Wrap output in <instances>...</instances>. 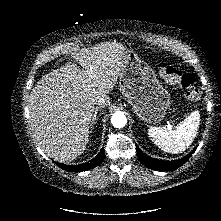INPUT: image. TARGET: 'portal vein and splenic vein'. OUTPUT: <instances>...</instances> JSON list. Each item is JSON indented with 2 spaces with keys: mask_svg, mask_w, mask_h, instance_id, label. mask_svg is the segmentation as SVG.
<instances>
[{
  "mask_svg": "<svg viewBox=\"0 0 221 221\" xmlns=\"http://www.w3.org/2000/svg\"><path fill=\"white\" fill-rule=\"evenodd\" d=\"M168 128H171V126H170V125H168Z\"/></svg>",
  "mask_w": 221,
  "mask_h": 221,
  "instance_id": "18ae733b",
  "label": "portal vein and splenic vein"
}]
</instances>
